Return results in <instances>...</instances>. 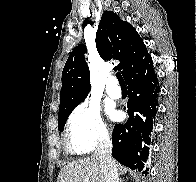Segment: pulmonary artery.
Listing matches in <instances>:
<instances>
[{"label": "pulmonary artery", "instance_id": "pulmonary-artery-1", "mask_svg": "<svg viewBox=\"0 0 196 182\" xmlns=\"http://www.w3.org/2000/svg\"><path fill=\"white\" fill-rule=\"evenodd\" d=\"M106 93L114 99H118L121 97L122 95V91L121 88L119 87L118 83H117V79L114 78H110L107 81V85H106Z\"/></svg>", "mask_w": 196, "mask_h": 182}]
</instances>
